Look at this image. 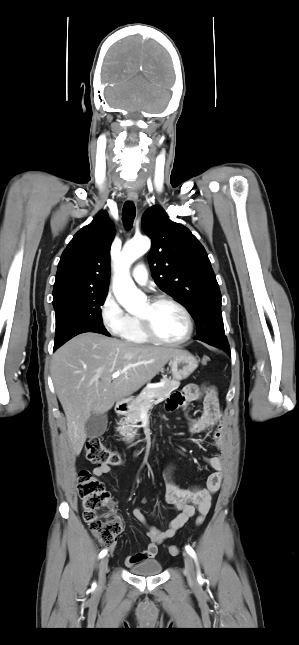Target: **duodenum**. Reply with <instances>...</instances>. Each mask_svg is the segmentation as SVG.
<instances>
[{"mask_svg":"<svg viewBox=\"0 0 299 645\" xmlns=\"http://www.w3.org/2000/svg\"><path fill=\"white\" fill-rule=\"evenodd\" d=\"M128 405L125 402H120L116 405L115 410L118 414H123L127 411Z\"/></svg>","mask_w":299,"mask_h":645,"instance_id":"1","label":"duodenum"}]
</instances>
